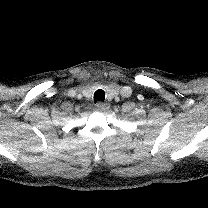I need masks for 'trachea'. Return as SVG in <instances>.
<instances>
[{
  "mask_svg": "<svg viewBox=\"0 0 208 208\" xmlns=\"http://www.w3.org/2000/svg\"><path fill=\"white\" fill-rule=\"evenodd\" d=\"M104 100H105V92L102 89H98L94 93V103L104 102Z\"/></svg>",
  "mask_w": 208,
  "mask_h": 208,
  "instance_id": "obj_1",
  "label": "trachea"
}]
</instances>
